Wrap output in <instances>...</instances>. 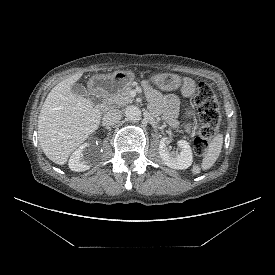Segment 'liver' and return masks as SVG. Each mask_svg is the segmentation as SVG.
Returning a JSON list of instances; mask_svg holds the SVG:
<instances>
[{"label":"liver","instance_id":"1","mask_svg":"<svg viewBox=\"0 0 275 275\" xmlns=\"http://www.w3.org/2000/svg\"><path fill=\"white\" fill-rule=\"evenodd\" d=\"M81 76L82 72L75 73L52 88L38 117L40 147L58 165L66 164L70 154L100 125V110L90 99L71 91Z\"/></svg>","mask_w":275,"mask_h":275}]
</instances>
